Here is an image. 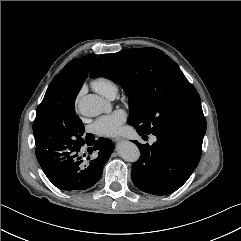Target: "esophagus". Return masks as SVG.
<instances>
[{"label":"esophagus","mask_w":241,"mask_h":241,"mask_svg":"<svg viewBox=\"0 0 241 241\" xmlns=\"http://www.w3.org/2000/svg\"><path fill=\"white\" fill-rule=\"evenodd\" d=\"M113 141H114L115 143H119V142L124 141V138L118 137V138H115Z\"/></svg>","instance_id":"esophagus-1"}]
</instances>
